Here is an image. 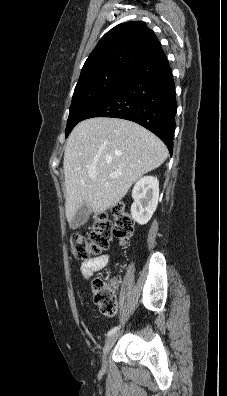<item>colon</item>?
Wrapping results in <instances>:
<instances>
[{
    "instance_id": "1",
    "label": "colon",
    "mask_w": 227,
    "mask_h": 396,
    "mask_svg": "<svg viewBox=\"0 0 227 396\" xmlns=\"http://www.w3.org/2000/svg\"><path fill=\"white\" fill-rule=\"evenodd\" d=\"M112 221L105 214L100 215L94 222L88 236L75 235L71 240L73 256L82 261H88L93 256L108 249L113 237L121 243H126L134 230L133 220L125 212L121 204H117L111 211ZM91 292L95 304L107 316H114L117 311V301L113 285L101 277H96L91 283Z\"/></svg>"
}]
</instances>
